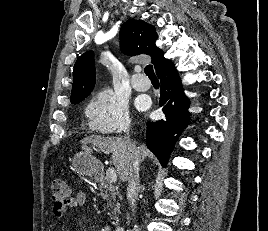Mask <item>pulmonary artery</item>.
<instances>
[{
	"mask_svg": "<svg viewBox=\"0 0 268 231\" xmlns=\"http://www.w3.org/2000/svg\"><path fill=\"white\" fill-rule=\"evenodd\" d=\"M132 86L135 90L139 92H145L150 88L151 82L144 75L136 74L135 77L132 79Z\"/></svg>",
	"mask_w": 268,
	"mask_h": 231,
	"instance_id": "pulmonary-artery-1",
	"label": "pulmonary artery"
}]
</instances>
